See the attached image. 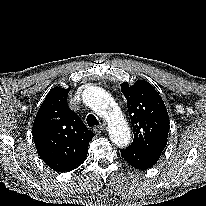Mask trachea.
Here are the masks:
<instances>
[{
  "instance_id": "trachea-1",
  "label": "trachea",
  "mask_w": 206,
  "mask_h": 206,
  "mask_svg": "<svg viewBox=\"0 0 206 206\" xmlns=\"http://www.w3.org/2000/svg\"><path fill=\"white\" fill-rule=\"evenodd\" d=\"M87 124L89 127L99 125V121L93 114H89L87 116Z\"/></svg>"
}]
</instances>
